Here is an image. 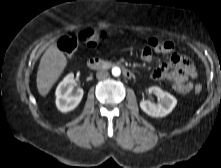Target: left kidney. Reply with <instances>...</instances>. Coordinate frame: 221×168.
I'll list each match as a JSON object with an SVG mask.
<instances>
[{
	"mask_svg": "<svg viewBox=\"0 0 221 168\" xmlns=\"http://www.w3.org/2000/svg\"><path fill=\"white\" fill-rule=\"evenodd\" d=\"M149 93L155 94L161 98V102L152 103L150 100H142L140 102V108L151 117H164L168 115L175 108L177 100L174 96L168 92L163 91L157 86H152L149 89Z\"/></svg>",
	"mask_w": 221,
	"mask_h": 168,
	"instance_id": "left-kidney-1",
	"label": "left kidney"
}]
</instances>
